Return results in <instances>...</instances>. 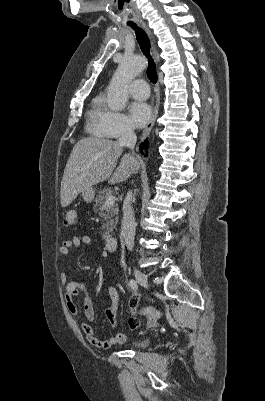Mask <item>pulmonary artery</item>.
I'll return each mask as SVG.
<instances>
[{
  "label": "pulmonary artery",
  "mask_w": 265,
  "mask_h": 401,
  "mask_svg": "<svg viewBox=\"0 0 265 401\" xmlns=\"http://www.w3.org/2000/svg\"><path fill=\"white\" fill-rule=\"evenodd\" d=\"M141 75V69H138L135 73V77H139ZM131 87V96L134 101H143L147 99L150 95L148 91V83L145 78H134V80L130 84Z\"/></svg>",
  "instance_id": "obj_1"
}]
</instances>
